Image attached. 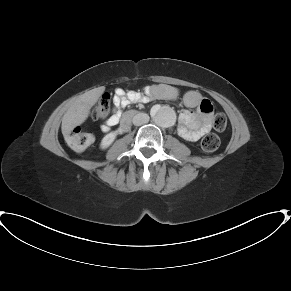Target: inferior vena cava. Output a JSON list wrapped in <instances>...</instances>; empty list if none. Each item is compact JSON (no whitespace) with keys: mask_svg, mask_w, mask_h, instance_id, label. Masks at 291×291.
Listing matches in <instances>:
<instances>
[{"mask_svg":"<svg viewBox=\"0 0 291 291\" xmlns=\"http://www.w3.org/2000/svg\"><path fill=\"white\" fill-rule=\"evenodd\" d=\"M133 124L136 126H141L149 122V116L146 113H138L133 117Z\"/></svg>","mask_w":291,"mask_h":291,"instance_id":"obj_1","label":"inferior vena cava"}]
</instances>
